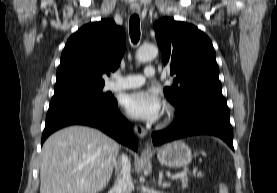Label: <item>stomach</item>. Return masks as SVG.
Instances as JSON below:
<instances>
[{"mask_svg":"<svg viewBox=\"0 0 277 193\" xmlns=\"http://www.w3.org/2000/svg\"><path fill=\"white\" fill-rule=\"evenodd\" d=\"M157 158L165 166L178 168L191 162L192 151L185 142L176 140L159 148Z\"/></svg>","mask_w":277,"mask_h":193,"instance_id":"1","label":"stomach"}]
</instances>
